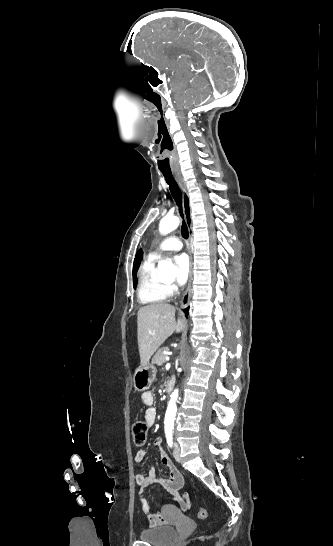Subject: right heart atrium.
I'll return each mask as SVG.
<instances>
[{
    "instance_id": "right-heart-atrium-1",
    "label": "right heart atrium",
    "mask_w": 333,
    "mask_h": 546,
    "mask_svg": "<svg viewBox=\"0 0 333 546\" xmlns=\"http://www.w3.org/2000/svg\"><path fill=\"white\" fill-rule=\"evenodd\" d=\"M166 290L169 294H171L172 292H174L175 290V286L174 285H166Z\"/></svg>"
}]
</instances>
